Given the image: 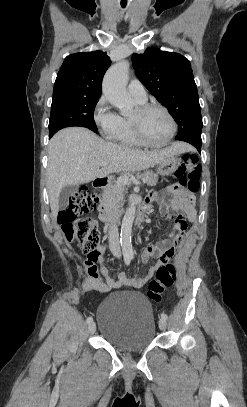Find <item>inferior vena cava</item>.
Wrapping results in <instances>:
<instances>
[{"label": "inferior vena cava", "instance_id": "obj_1", "mask_svg": "<svg viewBox=\"0 0 247 407\" xmlns=\"http://www.w3.org/2000/svg\"><path fill=\"white\" fill-rule=\"evenodd\" d=\"M105 230H108L109 234V248L112 254L118 258L121 257V248H120V242H119V233H118V228L117 224L114 221H111L106 224Z\"/></svg>", "mask_w": 247, "mask_h": 407}]
</instances>
